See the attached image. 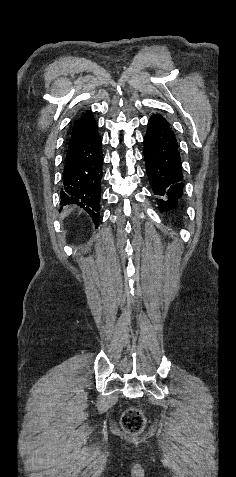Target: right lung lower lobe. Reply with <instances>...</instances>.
I'll return each instance as SVG.
<instances>
[{"label":"right lung lower lobe","mask_w":236,"mask_h":477,"mask_svg":"<svg viewBox=\"0 0 236 477\" xmlns=\"http://www.w3.org/2000/svg\"><path fill=\"white\" fill-rule=\"evenodd\" d=\"M103 154L91 112L74 123L67 140L61 205L76 204L99 222Z\"/></svg>","instance_id":"1"}]
</instances>
